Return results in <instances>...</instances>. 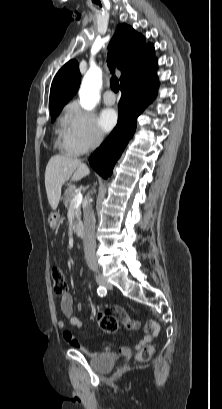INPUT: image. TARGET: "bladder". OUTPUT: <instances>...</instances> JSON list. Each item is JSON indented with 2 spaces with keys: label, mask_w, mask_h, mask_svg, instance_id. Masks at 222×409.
I'll list each match as a JSON object with an SVG mask.
<instances>
[{
  "label": "bladder",
  "mask_w": 222,
  "mask_h": 409,
  "mask_svg": "<svg viewBox=\"0 0 222 409\" xmlns=\"http://www.w3.org/2000/svg\"><path fill=\"white\" fill-rule=\"evenodd\" d=\"M117 356L115 354H102L91 360V366L99 372L110 370L116 363Z\"/></svg>",
  "instance_id": "bladder-1"
}]
</instances>
